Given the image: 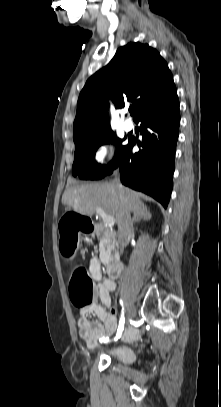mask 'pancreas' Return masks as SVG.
I'll return each instance as SVG.
<instances>
[{
	"label": "pancreas",
	"mask_w": 221,
	"mask_h": 407,
	"mask_svg": "<svg viewBox=\"0 0 221 407\" xmlns=\"http://www.w3.org/2000/svg\"><path fill=\"white\" fill-rule=\"evenodd\" d=\"M114 235L109 229H104L100 237V259L107 265L111 258V252L114 250Z\"/></svg>",
	"instance_id": "cf45deb5"
}]
</instances>
